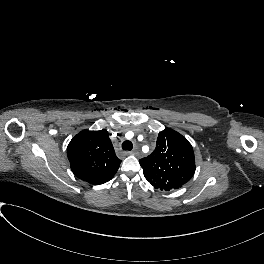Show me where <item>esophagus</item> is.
Returning a JSON list of instances; mask_svg holds the SVG:
<instances>
[{"label": "esophagus", "mask_w": 264, "mask_h": 264, "mask_svg": "<svg viewBox=\"0 0 264 264\" xmlns=\"http://www.w3.org/2000/svg\"><path fill=\"white\" fill-rule=\"evenodd\" d=\"M125 154L126 155H135L136 154V151H128Z\"/></svg>", "instance_id": "obj_1"}]
</instances>
